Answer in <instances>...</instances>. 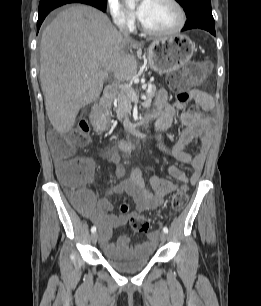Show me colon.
<instances>
[{"instance_id":"colon-1","label":"colon","mask_w":261,"mask_h":306,"mask_svg":"<svg viewBox=\"0 0 261 306\" xmlns=\"http://www.w3.org/2000/svg\"><path fill=\"white\" fill-rule=\"evenodd\" d=\"M208 66L203 62H192L180 72L171 75L168 79L171 88L176 92L181 102L191 98V92L202 84L207 74ZM90 114L94 117L106 120L105 109L92 108ZM91 126L88 119L79 121L75 129L67 134H56L51 140L54 156L60 161L68 162L58 173L62 182L81 192L89 176V167L85 158H73L75 151L86 145L90 139ZM188 202V191L185 186L178 189L172 196L171 205L175 211L182 210ZM122 210L127 211L123 205ZM131 228L136 232H147L151 227V220L143 215H135L130 220Z\"/></svg>"}]
</instances>
